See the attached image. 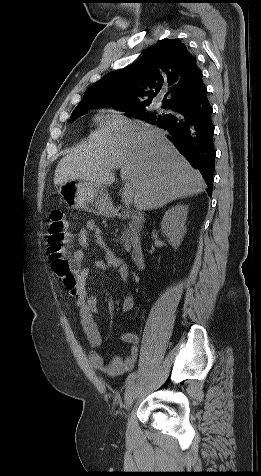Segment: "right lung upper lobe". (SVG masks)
Wrapping results in <instances>:
<instances>
[{"mask_svg": "<svg viewBox=\"0 0 261 476\" xmlns=\"http://www.w3.org/2000/svg\"><path fill=\"white\" fill-rule=\"evenodd\" d=\"M143 83L149 91L144 92ZM203 87L202 72L185 44L176 39H162L132 65L110 72L92 84L77 107L147 106L155 95L167 91L162 104L172 108L192 98Z\"/></svg>", "mask_w": 261, "mask_h": 476, "instance_id": "obj_1", "label": "right lung upper lobe"}]
</instances>
